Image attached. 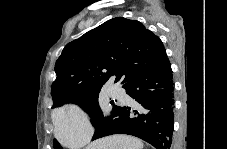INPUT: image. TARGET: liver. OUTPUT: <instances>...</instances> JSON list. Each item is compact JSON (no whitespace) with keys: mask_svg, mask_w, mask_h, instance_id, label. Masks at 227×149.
<instances>
[{"mask_svg":"<svg viewBox=\"0 0 227 149\" xmlns=\"http://www.w3.org/2000/svg\"><path fill=\"white\" fill-rule=\"evenodd\" d=\"M86 149H143V143L136 137L113 135L92 142Z\"/></svg>","mask_w":227,"mask_h":149,"instance_id":"obj_1","label":"liver"}]
</instances>
